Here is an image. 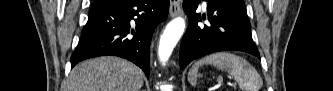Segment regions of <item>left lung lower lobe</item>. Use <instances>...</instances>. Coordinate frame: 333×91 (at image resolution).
<instances>
[{"label": "left lung lower lobe", "mask_w": 333, "mask_h": 91, "mask_svg": "<svg viewBox=\"0 0 333 91\" xmlns=\"http://www.w3.org/2000/svg\"><path fill=\"white\" fill-rule=\"evenodd\" d=\"M204 1H207L208 25H198L201 14L195 11L200 0L183 1L189 26L181 43L180 67L183 69L194 59L217 51H243L260 58L244 0Z\"/></svg>", "instance_id": "obj_1"}]
</instances>
